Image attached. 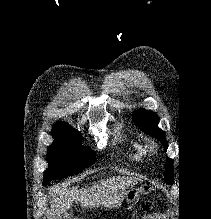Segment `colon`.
Segmentation results:
<instances>
[{"label":"colon","mask_w":211,"mask_h":219,"mask_svg":"<svg viewBox=\"0 0 211 219\" xmlns=\"http://www.w3.org/2000/svg\"><path fill=\"white\" fill-rule=\"evenodd\" d=\"M152 207H153L152 204H143V205H142V209H143L144 211H148V210H150Z\"/></svg>","instance_id":"obj_1"}]
</instances>
